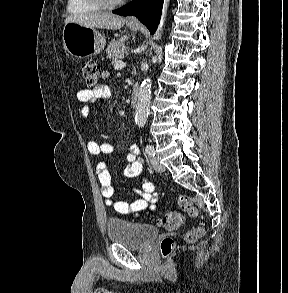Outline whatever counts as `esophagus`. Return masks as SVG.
I'll list each match as a JSON object with an SVG mask.
<instances>
[{
  "mask_svg": "<svg viewBox=\"0 0 288 293\" xmlns=\"http://www.w3.org/2000/svg\"><path fill=\"white\" fill-rule=\"evenodd\" d=\"M128 22L131 23V24H135V25H138L139 24V21L137 19L136 16L132 15L128 18Z\"/></svg>",
  "mask_w": 288,
  "mask_h": 293,
  "instance_id": "34e87169",
  "label": "esophagus"
}]
</instances>
